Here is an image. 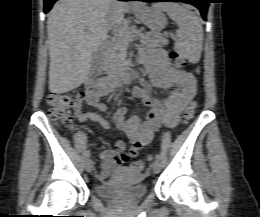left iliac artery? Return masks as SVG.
I'll return each instance as SVG.
<instances>
[{"label":"left iliac artery","instance_id":"left-iliac-artery-1","mask_svg":"<svg viewBox=\"0 0 260 217\" xmlns=\"http://www.w3.org/2000/svg\"><path fill=\"white\" fill-rule=\"evenodd\" d=\"M155 158H156L157 161H160V159H161L160 154L157 153V154L155 155Z\"/></svg>","mask_w":260,"mask_h":217}]
</instances>
